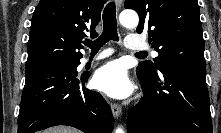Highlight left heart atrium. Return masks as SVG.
<instances>
[{
  "label": "left heart atrium",
  "instance_id": "1",
  "mask_svg": "<svg viewBox=\"0 0 221 133\" xmlns=\"http://www.w3.org/2000/svg\"><path fill=\"white\" fill-rule=\"evenodd\" d=\"M94 87L113 98L128 96L133 86L121 61H111L100 67L93 77Z\"/></svg>",
  "mask_w": 221,
  "mask_h": 133
}]
</instances>
